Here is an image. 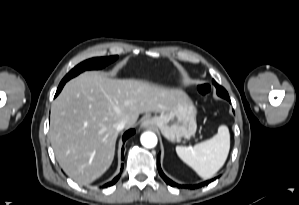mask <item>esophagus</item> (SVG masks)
Here are the masks:
<instances>
[{
    "label": "esophagus",
    "mask_w": 299,
    "mask_h": 205,
    "mask_svg": "<svg viewBox=\"0 0 299 205\" xmlns=\"http://www.w3.org/2000/svg\"><path fill=\"white\" fill-rule=\"evenodd\" d=\"M148 124H149V121H148V120H144V121L142 122V126H143V127L148 126Z\"/></svg>",
    "instance_id": "esophagus-1"
}]
</instances>
